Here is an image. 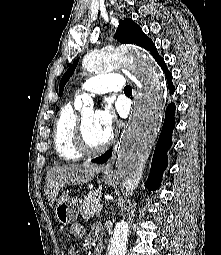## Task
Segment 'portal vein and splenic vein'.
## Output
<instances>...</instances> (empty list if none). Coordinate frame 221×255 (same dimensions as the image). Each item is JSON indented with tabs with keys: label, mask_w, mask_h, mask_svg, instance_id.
Returning a JSON list of instances; mask_svg holds the SVG:
<instances>
[{
	"label": "portal vein and splenic vein",
	"mask_w": 221,
	"mask_h": 255,
	"mask_svg": "<svg viewBox=\"0 0 221 255\" xmlns=\"http://www.w3.org/2000/svg\"><path fill=\"white\" fill-rule=\"evenodd\" d=\"M102 208H103V205H102V204H97V205H96V210H95V212L101 211Z\"/></svg>",
	"instance_id": "obj_1"
}]
</instances>
